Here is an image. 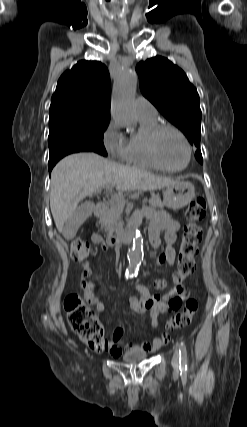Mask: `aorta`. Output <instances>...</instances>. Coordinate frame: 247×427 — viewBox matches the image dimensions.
<instances>
[{
	"mask_svg": "<svg viewBox=\"0 0 247 427\" xmlns=\"http://www.w3.org/2000/svg\"><path fill=\"white\" fill-rule=\"evenodd\" d=\"M136 88V72L131 68H121L115 78L111 107L113 120L121 126L132 128L136 123L133 107ZM127 257L129 261L127 272L130 274L137 272L143 258V238L139 230H136Z\"/></svg>",
	"mask_w": 247,
	"mask_h": 427,
	"instance_id": "obj_1",
	"label": "aorta"
}]
</instances>
